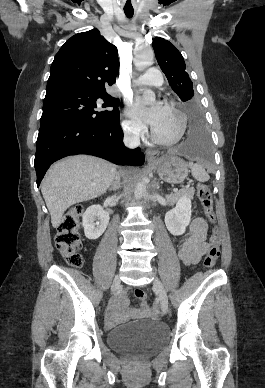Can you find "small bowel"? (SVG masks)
<instances>
[{
	"label": "small bowel",
	"instance_id": "1",
	"mask_svg": "<svg viewBox=\"0 0 265 388\" xmlns=\"http://www.w3.org/2000/svg\"><path fill=\"white\" fill-rule=\"evenodd\" d=\"M207 224L201 217H196L190 225L188 236L182 241L179 247V257L185 265L197 264L207 252L209 245L205 241ZM128 298L126 291H122L108 305L106 312V323L109 327L125 319L123 308L127 305ZM147 310V309H145Z\"/></svg>",
	"mask_w": 265,
	"mask_h": 388
}]
</instances>
